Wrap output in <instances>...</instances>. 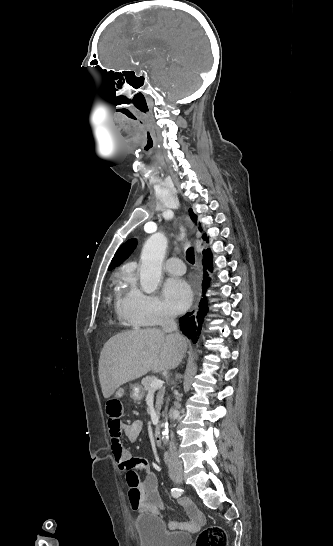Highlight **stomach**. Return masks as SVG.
I'll list each match as a JSON object with an SVG mask.
<instances>
[{"mask_svg": "<svg viewBox=\"0 0 333 546\" xmlns=\"http://www.w3.org/2000/svg\"><path fill=\"white\" fill-rule=\"evenodd\" d=\"M145 393L141 385L139 384H133L130 387V397L135 400L139 401L144 397Z\"/></svg>", "mask_w": 333, "mask_h": 546, "instance_id": "1", "label": "stomach"}]
</instances>
